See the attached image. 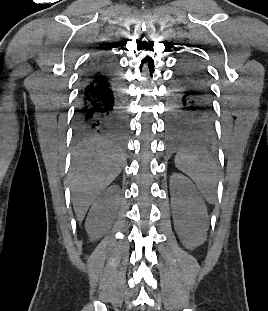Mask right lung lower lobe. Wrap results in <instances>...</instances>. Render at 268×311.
Listing matches in <instances>:
<instances>
[{
	"label": "right lung lower lobe",
	"instance_id": "1",
	"mask_svg": "<svg viewBox=\"0 0 268 311\" xmlns=\"http://www.w3.org/2000/svg\"><path fill=\"white\" fill-rule=\"evenodd\" d=\"M115 61L109 56L96 58L87 67L74 118L77 139L103 136L122 142L128 130L126 99Z\"/></svg>",
	"mask_w": 268,
	"mask_h": 311
}]
</instances>
